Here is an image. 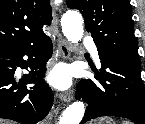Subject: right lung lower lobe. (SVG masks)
<instances>
[{
  "instance_id": "1",
  "label": "right lung lower lobe",
  "mask_w": 145,
  "mask_h": 124,
  "mask_svg": "<svg viewBox=\"0 0 145 124\" xmlns=\"http://www.w3.org/2000/svg\"><path fill=\"white\" fill-rule=\"evenodd\" d=\"M51 54L52 42L48 36L29 46L0 50V118L36 124L48 114L53 93L42 78ZM24 55L29 57L27 62L23 60ZM26 65H29L30 73L16 81V67L26 68ZM30 83L36 85L27 89L25 85Z\"/></svg>"
}]
</instances>
